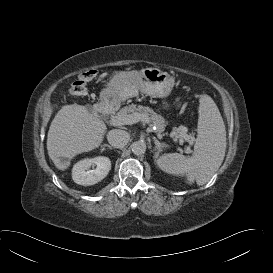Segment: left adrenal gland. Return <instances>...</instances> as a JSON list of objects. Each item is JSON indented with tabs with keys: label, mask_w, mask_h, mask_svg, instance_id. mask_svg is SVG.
<instances>
[{
	"label": "left adrenal gland",
	"mask_w": 273,
	"mask_h": 273,
	"mask_svg": "<svg viewBox=\"0 0 273 273\" xmlns=\"http://www.w3.org/2000/svg\"><path fill=\"white\" fill-rule=\"evenodd\" d=\"M155 145H156L155 148H156L157 152L155 153L154 158H155V161H156V159L158 158L159 153L161 152V149L164 146V144L160 143L157 139H155Z\"/></svg>",
	"instance_id": "a2214340"
}]
</instances>
